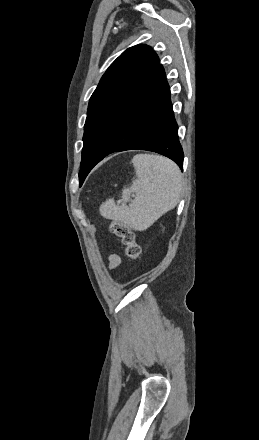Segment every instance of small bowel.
Masks as SVG:
<instances>
[{"mask_svg": "<svg viewBox=\"0 0 259 440\" xmlns=\"http://www.w3.org/2000/svg\"><path fill=\"white\" fill-rule=\"evenodd\" d=\"M109 268L114 269L119 266L121 260L120 257L116 253H112L109 258Z\"/></svg>", "mask_w": 259, "mask_h": 440, "instance_id": "c3829d8e", "label": "small bowel"}]
</instances>
